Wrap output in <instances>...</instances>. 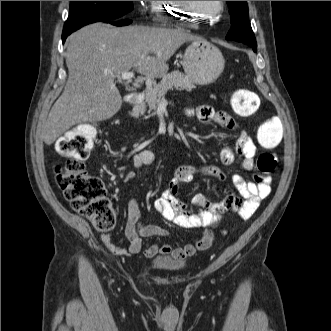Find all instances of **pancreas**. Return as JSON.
I'll return each instance as SVG.
<instances>
[{"label": "pancreas", "mask_w": 331, "mask_h": 331, "mask_svg": "<svg viewBox=\"0 0 331 331\" xmlns=\"http://www.w3.org/2000/svg\"><path fill=\"white\" fill-rule=\"evenodd\" d=\"M176 88L191 91L195 88L192 81L179 71H173L165 75L160 83L149 88L145 92V102L148 104L150 111L155 110L160 101L165 97L168 90ZM146 111L145 103L137 105L133 108L132 116L138 118Z\"/></svg>", "instance_id": "pancreas-1"}]
</instances>
